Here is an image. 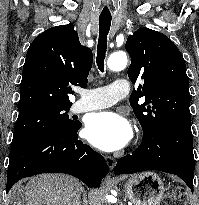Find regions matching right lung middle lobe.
Segmentation results:
<instances>
[{
    "label": "right lung middle lobe",
    "mask_w": 199,
    "mask_h": 205,
    "mask_svg": "<svg viewBox=\"0 0 199 205\" xmlns=\"http://www.w3.org/2000/svg\"><path fill=\"white\" fill-rule=\"evenodd\" d=\"M69 106L38 108L19 113L11 147L29 142L41 135L74 128L78 122L69 118Z\"/></svg>",
    "instance_id": "dd1d6c3e"
}]
</instances>
